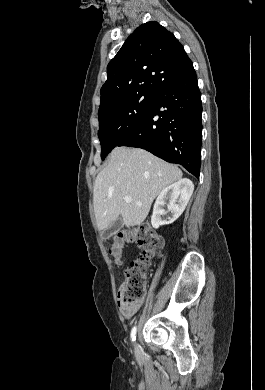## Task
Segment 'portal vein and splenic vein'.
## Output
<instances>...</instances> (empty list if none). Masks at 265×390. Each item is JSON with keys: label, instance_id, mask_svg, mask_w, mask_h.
I'll use <instances>...</instances> for the list:
<instances>
[{"label": "portal vein and splenic vein", "instance_id": "obj_1", "mask_svg": "<svg viewBox=\"0 0 265 390\" xmlns=\"http://www.w3.org/2000/svg\"><path fill=\"white\" fill-rule=\"evenodd\" d=\"M124 201H125L126 203H131V202H132V198L129 197V196H125V197H124ZM136 205L141 206L142 203H141V202H137Z\"/></svg>", "mask_w": 265, "mask_h": 390}]
</instances>
